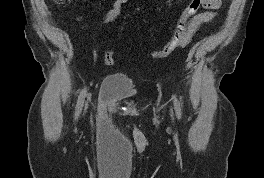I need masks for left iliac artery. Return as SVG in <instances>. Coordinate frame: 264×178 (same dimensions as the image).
Wrapping results in <instances>:
<instances>
[{
    "instance_id": "1",
    "label": "left iliac artery",
    "mask_w": 264,
    "mask_h": 178,
    "mask_svg": "<svg viewBox=\"0 0 264 178\" xmlns=\"http://www.w3.org/2000/svg\"><path fill=\"white\" fill-rule=\"evenodd\" d=\"M174 106H175V111L178 116V118L181 117V107H180V102L176 97H174Z\"/></svg>"
}]
</instances>
